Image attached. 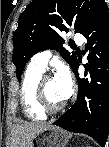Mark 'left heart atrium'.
<instances>
[{"label":"left heart atrium","instance_id":"39dd6f15","mask_svg":"<svg viewBox=\"0 0 109 147\" xmlns=\"http://www.w3.org/2000/svg\"><path fill=\"white\" fill-rule=\"evenodd\" d=\"M54 79L58 84L62 98H69L73 92V78L69 68L65 65L60 66Z\"/></svg>","mask_w":109,"mask_h":147}]
</instances>
